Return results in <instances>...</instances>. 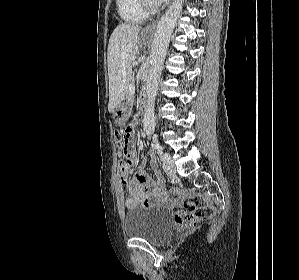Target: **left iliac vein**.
<instances>
[{
	"mask_svg": "<svg viewBox=\"0 0 299 280\" xmlns=\"http://www.w3.org/2000/svg\"><path fill=\"white\" fill-rule=\"evenodd\" d=\"M163 169L168 176H174L176 174V168L170 155L169 158L163 162Z\"/></svg>",
	"mask_w": 299,
	"mask_h": 280,
	"instance_id": "4c4485c4",
	"label": "left iliac vein"
}]
</instances>
